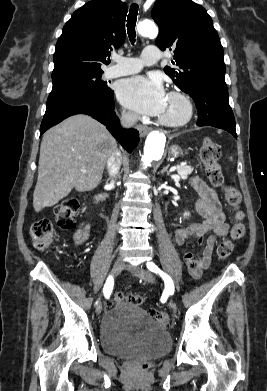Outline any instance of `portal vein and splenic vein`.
<instances>
[{
  "mask_svg": "<svg viewBox=\"0 0 267 391\" xmlns=\"http://www.w3.org/2000/svg\"><path fill=\"white\" fill-rule=\"evenodd\" d=\"M184 164H185V163H183L182 165H184ZM174 169H176V167H173V168H172V170H174ZM82 172L85 173V172H87V170H86V169H82Z\"/></svg>",
  "mask_w": 267,
  "mask_h": 391,
  "instance_id": "1",
  "label": "portal vein and splenic vein"
}]
</instances>
